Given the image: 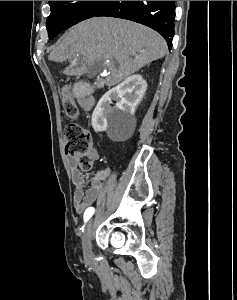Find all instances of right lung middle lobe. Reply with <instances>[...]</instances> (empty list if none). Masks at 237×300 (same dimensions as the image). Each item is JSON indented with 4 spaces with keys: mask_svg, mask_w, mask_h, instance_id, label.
<instances>
[{
    "mask_svg": "<svg viewBox=\"0 0 237 300\" xmlns=\"http://www.w3.org/2000/svg\"><path fill=\"white\" fill-rule=\"evenodd\" d=\"M105 1H49L51 13L46 20L49 38L80 21L94 16Z\"/></svg>",
    "mask_w": 237,
    "mask_h": 300,
    "instance_id": "1",
    "label": "right lung middle lobe"
}]
</instances>
